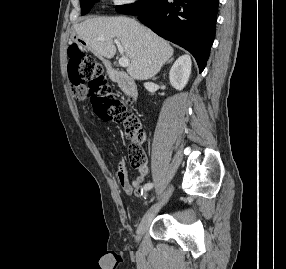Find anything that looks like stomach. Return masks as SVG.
<instances>
[{"label": "stomach", "mask_w": 286, "mask_h": 269, "mask_svg": "<svg viewBox=\"0 0 286 269\" xmlns=\"http://www.w3.org/2000/svg\"><path fill=\"white\" fill-rule=\"evenodd\" d=\"M75 41H76L77 43H79V40L76 39Z\"/></svg>", "instance_id": "obj_1"}]
</instances>
